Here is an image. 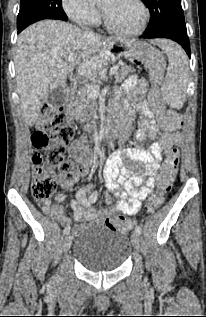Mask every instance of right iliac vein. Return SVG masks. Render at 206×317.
<instances>
[{"label":"right iliac vein","mask_w":206,"mask_h":317,"mask_svg":"<svg viewBox=\"0 0 206 317\" xmlns=\"http://www.w3.org/2000/svg\"><path fill=\"white\" fill-rule=\"evenodd\" d=\"M72 243V237L70 234L66 235L64 242H63V252L66 253L71 246Z\"/></svg>","instance_id":"1"}]
</instances>
